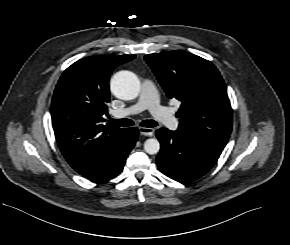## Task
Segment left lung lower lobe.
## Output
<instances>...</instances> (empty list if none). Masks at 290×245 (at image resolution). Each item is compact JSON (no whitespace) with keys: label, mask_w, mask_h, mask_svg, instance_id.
I'll return each instance as SVG.
<instances>
[{"label":"left lung lower lobe","mask_w":290,"mask_h":245,"mask_svg":"<svg viewBox=\"0 0 290 245\" xmlns=\"http://www.w3.org/2000/svg\"><path fill=\"white\" fill-rule=\"evenodd\" d=\"M156 136L161 143L156 157L158 168L181 183L193 182L205 175L224 149L167 128L158 129Z\"/></svg>","instance_id":"obj_1"}]
</instances>
